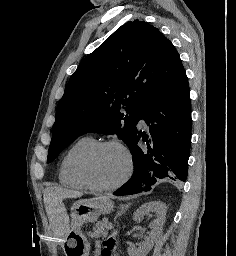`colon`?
<instances>
[{"label": "colon", "mask_w": 236, "mask_h": 256, "mask_svg": "<svg viewBox=\"0 0 236 256\" xmlns=\"http://www.w3.org/2000/svg\"><path fill=\"white\" fill-rule=\"evenodd\" d=\"M116 246L115 236H110L103 241V247L99 250V256H114Z\"/></svg>", "instance_id": "colon-1"}]
</instances>
